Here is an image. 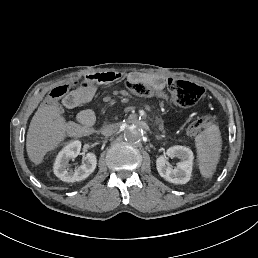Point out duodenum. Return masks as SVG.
I'll list each match as a JSON object with an SVG mask.
<instances>
[{
    "mask_svg": "<svg viewBox=\"0 0 258 258\" xmlns=\"http://www.w3.org/2000/svg\"><path fill=\"white\" fill-rule=\"evenodd\" d=\"M121 78L118 72H96L87 76L86 80L90 85H108Z\"/></svg>",
    "mask_w": 258,
    "mask_h": 258,
    "instance_id": "duodenum-1",
    "label": "duodenum"
}]
</instances>
